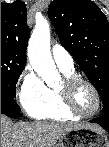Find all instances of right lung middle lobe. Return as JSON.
I'll return each mask as SVG.
<instances>
[{
	"mask_svg": "<svg viewBox=\"0 0 109 147\" xmlns=\"http://www.w3.org/2000/svg\"><path fill=\"white\" fill-rule=\"evenodd\" d=\"M26 62L1 51V100L20 111L15 101V87Z\"/></svg>",
	"mask_w": 109,
	"mask_h": 147,
	"instance_id": "1",
	"label": "right lung middle lobe"
}]
</instances>
